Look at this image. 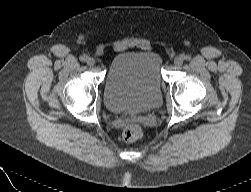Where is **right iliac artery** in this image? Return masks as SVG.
Listing matches in <instances>:
<instances>
[{"instance_id":"obj_1","label":"right iliac artery","mask_w":251,"mask_h":192,"mask_svg":"<svg viewBox=\"0 0 251 192\" xmlns=\"http://www.w3.org/2000/svg\"><path fill=\"white\" fill-rule=\"evenodd\" d=\"M87 58H88L87 55H82V56L80 57V60H81L82 62H85V61L87 60Z\"/></svg>"}]
</instances>
